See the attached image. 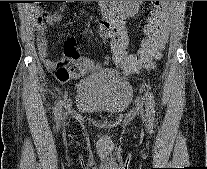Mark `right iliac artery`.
<instances>
[{"label":"right iliac artery","instance_id":"right-iliac-artery-1","mask_svg":"<svg viewBox=\"0 0 207 169\" xmlns=\"http://www.w3.org/2000/svg\"><path fill=\"white\" fill-rule=\"evenodd\" d=\"M62 103H57L56 107H55V115H56V120H60L61 119V115H62Z\"/></svg>","mask_w":207,"mask_h":169}]
</instances>
